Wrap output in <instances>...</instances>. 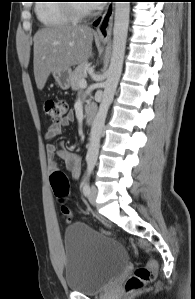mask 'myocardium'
<instances>
[{"label": "myocardium", "instance_id": "obj_1", "mask_svg": "<svg viewBox=\"0 0 195 299\" xmlns=\"http://www.w3.org/2000/svg\"><path fill=\"white\" fill-rule=\"evenodd\" d=\"M72 18L76 21L84 20L93 14V9L88 6V9L81 8L80 3H70L66 6Z\"/></svg>", "mask_w": 195, "mask_h": 299}]
</instances>
